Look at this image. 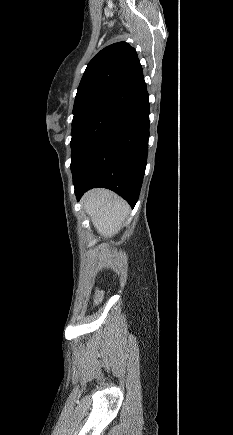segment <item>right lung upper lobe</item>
Here are the masks:
<instances>
[{
  "label": "right lung upper lobe",
  "mask_w": 233,
  "mask_h": 435,
  "mask_svg": "<svg viewBox=\"0 0 233 435\" xmlns=\"http://www.w3.org/2000/svg\"><path fill=\"white\" fill-rule=\"evenodd\" d=\"M147 94L135 49L125 42L114 43L88 63L78 86L73 115L96 111L125 114Z\"/></svg>",
  "instance_id": "cb5924a9"
}]
</instances>
